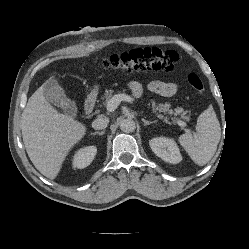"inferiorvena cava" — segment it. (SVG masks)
Instances as JSON below:
<instances>
[{"instance_id":"602c4592","label":"inferior vena cava","mask_w":249,"mask_h":249,"mask_svg":"<svg viewBox=\"0 0 249 249\" xmlns=\"http://www.w3.org/2000/svg\"><path fill=\"white\" fill-rule=\"evenodd\" d=\"M109 123L107 117H98L92 122V127L96 130L105 129Z\"/></svg>"}]
</instances>
